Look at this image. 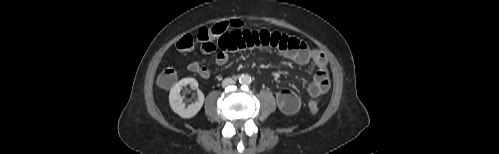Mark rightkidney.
Masks as SVG:
<instances>
[{
    "label": "right kidney",
    "instance_id": "obj_1",
    "mask_svg": "<svg viewBox=\"0 0 499 154\" xmlns=\"http://www.w3.org/2000/svg\"><path fill=\"white\" fill-rule=\"evenodd\" d=\"M186 85H190L192 89L198 88V82L196 79L194 78L181 79L171 88L169 94V103L172 110L182 118H192L202 108L204 103V94L200 90H198L197 101L186 106L185 103L183 102V98L180 95L181 89Z\"/></svg>",
    "mask_w": 499,
    "mask_h": 154
}]
</instances>
